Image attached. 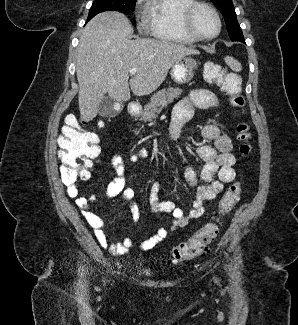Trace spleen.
Returning a JSON list of instances; mask_svg holds the SVG:
<instances>
[{"label": "spleen", "instance_id": "spleen-1", "mask_svg": "<svg viewBox=\"0 0 298 325\" xmlns=\"http://www.w3.org/2000/svg\"><path fill=\"white\" fill-rule=\"evenodd\" d=\"M224 60L226 64L232 68V70H235V72H240V70H242L241 62H239V60H236L234 56H225Z\"/></svg>", "mask_w": 298, "mask_h": 325}]
</instances>
